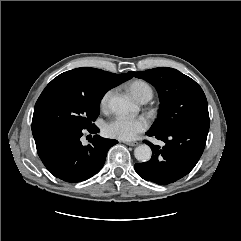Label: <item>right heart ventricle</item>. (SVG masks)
<instances>
[{"mask_svg":"<svg viewBox=\"0 0 241 241\" xmlns=\"http://www.w3.org/2000/svg\"><path fill=\"white\" fill-rule=\"evenodd\" d=\"M127 89L132 97L137 101H141L143 99L150 100L153 96V90L151 86L146 81L141 79L131 81L127 85Z\"/></svg>","mask_w":241,"mask_h":241,"instance_id":"1","label":"right heart ventricle"}]
</instances>
